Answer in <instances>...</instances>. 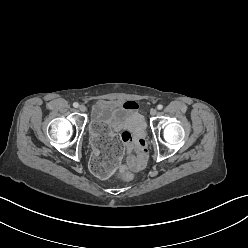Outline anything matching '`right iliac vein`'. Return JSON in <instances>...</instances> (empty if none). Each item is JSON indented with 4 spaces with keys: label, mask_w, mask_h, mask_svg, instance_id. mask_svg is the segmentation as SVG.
I'll list each match as a JSON object with an SVG mask.
<instances>
[{
    "label": "right iliac vein",
    "mask_w": 248,
    "mask_h": 248,
    "mask_svg": "<svg viewBox=\"0 0 248 248\" xmlns=\"http://www.w3.org/2000/svg\"><path fill=\"white\" fill-rule=\"evenodd\" d=\"M79 110H80L81 112H86V106H85V105H80V106H79Z\"/></svg>",
    "instance_id": "right-iliac-vein-1"
}]
</instances>
